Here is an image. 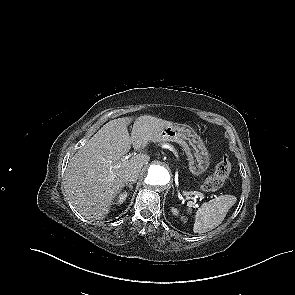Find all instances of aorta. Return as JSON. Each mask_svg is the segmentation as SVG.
I'll list each match as a JSON object with an SVG mask.
<instances>
[{"label":"aorta","instance_id":"762f6f07","mask_svg":"<svg viewBox=\"0 0 295 295\" xmlns=\"http://www.w3.org/2000/svg\"><path fill=\"white\" fill-rule=\"evenodd\" d=\"M170 182V173L166 167L160 164H152L148 167L145 184L153 189L165 187Z\"/></svg>","mask_w":295,"mask_h":295}]
</instances>
